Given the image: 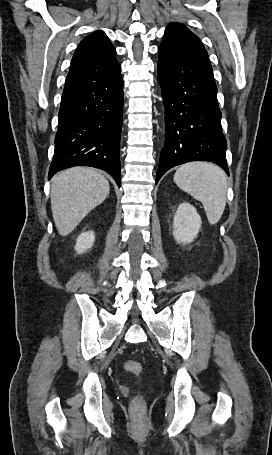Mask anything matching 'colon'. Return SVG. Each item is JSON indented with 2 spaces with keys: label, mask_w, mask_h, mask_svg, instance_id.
Wrapping results in <instances>:
<instances>
[{
  "label": "colon",
  "mask_w": 272,
  "mask_h": 455,
  "mask_svg": "<svg viewBox=\"0 0 272 455\" xmlns=\"http://www.w3.org/2000/svg\"><path fill=\"white\" fill-rule=\"evenodd\" d=\"M125 369L133 375H139L142 371V366L139 362L129 360L124 364ZM133 411L139 413L142 410V400L136 397L132 403Z\"/></svg>",
  "instance_id": "1"
}]
</instances>
